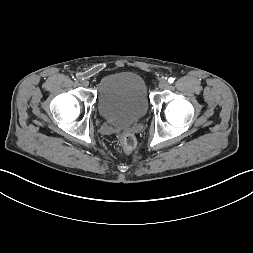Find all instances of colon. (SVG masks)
<instances>
[{"label":"colon","mask_w":253,"mask_h":253,"mask_svg":"<svg viewBox=\"0 0 253 253\" xmlns=\"http://www.w3.org/2000/svg\"><path fill=\"white\" fill-rule=\"evenodd\" d=\"M136 144V138L130 133H122L119 136V146L121 151L130 152L136 147Z\"/></svg>","instance_id":"5ec220e1"}]
</instances>
